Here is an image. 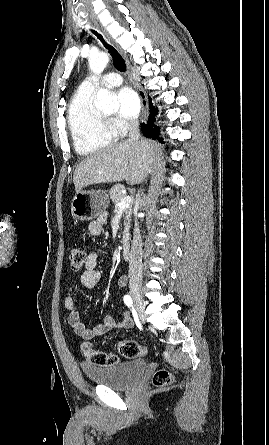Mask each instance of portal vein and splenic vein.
I'll return each instance as SVG.
<instances>
[{
  "label": "portal vein and splenic vein",
  "instance_id": "obj_1",
  "mask_svg": "<svg viewBox=\"0 0 269 445\" xmlns=\"http://www.w3.org/2000/svg\"><path fill=\"white\" fill-rule=\"evenodd\" d=\"M132 202L131 196H125L118 204V209L124 210L130 206Z\"/></svg>",
  "mask_w": 269,
  "mask_h": 445
}]
</instances>
